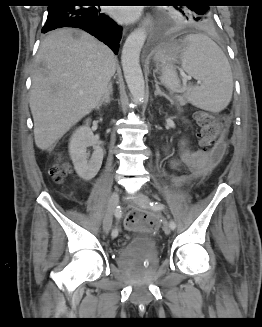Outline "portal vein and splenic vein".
<instances>
[{
    "mask_svg": "<svg viewBox=\"0 0 262 327\" xmlns=\"http://www.w3.org/2000/svg\"><path fill=\"white\" fill-rule=\"evenodd\" d=\"M190 79H191V77L185 75L183 81H184V83H186Z\"/></svg>",
    "mask_w": 262,
    "mask_h": 327,
    "instance_id": "portal-vein-and-splenic-vein-1",
    "label": "portal vein and splenic vein"
}]
</instances>
